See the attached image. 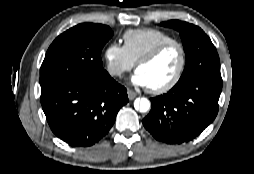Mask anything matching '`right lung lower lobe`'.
<instances>
[{"mask_svg": "<svg viewBox=\"0 0 254 174\" xmlns=\"http://www.w3.org/2000/svg\"><path fill=\"white\" fill-rule=\"evenodd\" d=\"M127 90L106 74L41 90V104L52 132L71 146L98 142L128 102Z\"/></svg>", "mask_w": 254, "mask_h": 174, "instance_id": "1", "label": "right lung lower lobe"}]
</instances>
